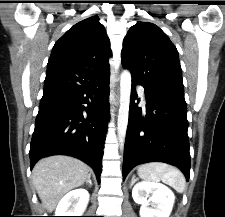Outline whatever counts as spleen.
<instances>
[{"label":"spleen","mask_w":225,"mask_h":217,"mask_svg":"<svg viewBox=\"0 0 225 217\" xmlns=\"http://www.w3.org/2000/svg\"><path fill=\"white\" fill-rule=\"evenodd\" d=\"M137 174L140 178L148 181H162L177 192L185 190L186 180L183 173L176 167L163 162H149L139 166Z\"/></svg>","instance_id":"obj_1"}]
</instances>
